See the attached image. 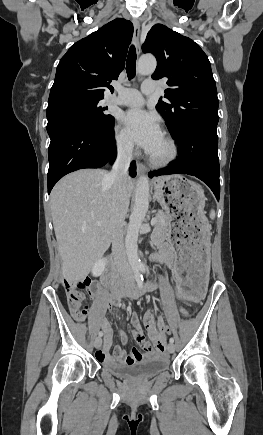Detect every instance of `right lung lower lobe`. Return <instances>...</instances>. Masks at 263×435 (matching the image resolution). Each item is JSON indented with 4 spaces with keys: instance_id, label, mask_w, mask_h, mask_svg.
I'll return each mask as SVG.
<instances>
[{
    "instance_id": "right-lung-lower-lobe-1",
    "label": "right lung lower lobe",
    "mask_w": 263,
    "mask_h": 435,
    "mask_svg": "<svg viewBox=\"0 0 263 435\" xmlns=\"http://www.w3.org/2000/svg\"><path fill=\"white\" fill-rule=\"evenodd\" d=\"M113 127L100 130L79 122L55 125L48 132L51 142L48 149V193L64 175L78 169L100 168L113 163L116 146ZM130 176H136V164L131 162Z\"/></svg>"
}]
</instances>
